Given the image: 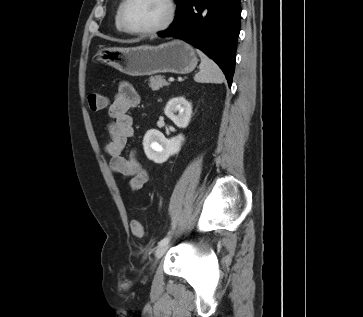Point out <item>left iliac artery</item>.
Here are the masks:
<instances>
[{
	"label": "left iliac artery",
	"mask_w": 363,
	"mask_h": 317,
	"mask_svg": "<svg viewBox=\"0 0 363 317\" xmlns=\"http://www.w3.org/2000/svg\"><path fill=\"white\" fill-rule=\"evenodd\" d=\"M169 240H170V234H168V236H166V237H164L159 243H158V245L159 246H162V245H165V244H167L168 242H169Z\"/></svg>",
	"instance_id": "44dca946"
}]
</instances>
